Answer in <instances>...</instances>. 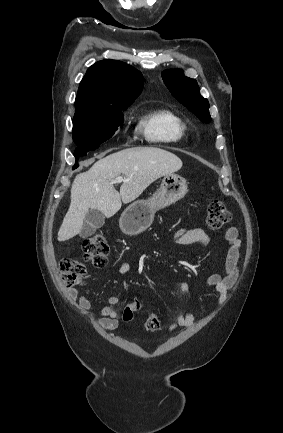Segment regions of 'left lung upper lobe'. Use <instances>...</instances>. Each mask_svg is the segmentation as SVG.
Instances as JSON below:
<instances>
[{
    "label": "left lung upper lobe",
    "instance_id": "1",
    "mask_svg": "<svg viewBox=\"0 0 283 433\" xmlns=\"http://www.w3.org/2000/svg\"><path fill=\"white\" fill-rule=\"evenodd\" d=\"M162 79L172 95L201 121L209 123V103L200 95L196 80L186 77L179 69L165 70Z\"/></svg>",
    "mask_w": 283,
    "mask_h": 433
}]
</instances>
